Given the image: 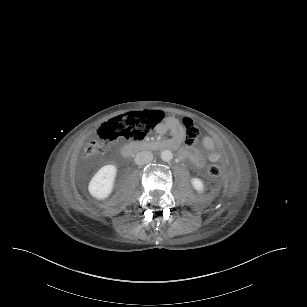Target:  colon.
Wrapping results in <instances>:
<instances>
[{"mask_svg":"<svg viewBox=\"0 0 307 307\" xmlns=\"http://www.w3.org/2000/svg\"><path fill=\"white\" fill-rule=\"evenodd\" d=\"M163 117L164 113L160 110L127 113L114 117L98 128L97 140H91L85 144L84 154L90 157L105 152L111 144L122 139L140 141L161 122ZM181 121L186 145L196 144L200 138L199 127L191 122L192 118L188 114L183 115ZM208 175L212 179L220 177L221 168L216 162L209 164Z\"/></svg>","mask_w":307,"mask_h":307,"instance_id":"obj_1","label":"colon"}]
</instances>
